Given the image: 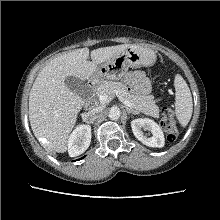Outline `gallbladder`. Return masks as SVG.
Instances as JSON below:
<instances>
[{
  "instance_id": "bac80fb5",
  "label": "gallbladder",
  "mask_w": 220,
  "mask_h": 220,
  "mask_svg": "<svg viewBox=\"0 0 220 220\" xmlns=\"http://www.w3.org/2000/svg\"><path fill=\"white\" fill-rule=\"evenodd\" d=\"M65 82H66V85L73 92L78 94L79 96H81V97H86L87 96L89 87L84 81H82L78 78H75V77H68V78H66Z\"/></svg>"
}]
</instances>
